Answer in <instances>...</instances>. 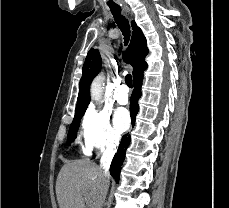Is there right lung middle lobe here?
Returning a JSON list of instances; mask_svg holds the SVG:
<instances>
[{
	"label": "right lung middle lobe",
	"mask_w": 229,
	"mask_h": 208,
	"mask_svg": "<svg viewBox=\"0 0 229 208\" xmlns=\"http://www.w3.org/2000/svg\"><path fill=\"white\" fill-rule=\"evenodd\" d=\"M80 125V120L73 121L67 137V143L70 144L77 136V131Z\"/></svg>",
	"instance_id": "1"
}]
</instances>
